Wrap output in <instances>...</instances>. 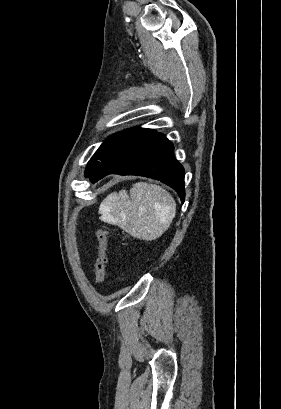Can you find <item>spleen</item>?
<instances>
[{
    "label": "spleen",
    "instance_id": "spleen-1",
    "mask_svg": "<svg viewBox=\"0 0 281 409\" xmlns=\"http://www.w3.org/2000/svg\"><path fill=\"white\" fill-rule=\"evenodd\" d=\"M101 221L117 225L140 241H155L169 229L175 215L176 202L165 188L149 182H135L130 198L125 188L110 192L99 207Z\"/></svg>",
    "mask_w": 281,
    "mask_h": 409
}]
</instances>
